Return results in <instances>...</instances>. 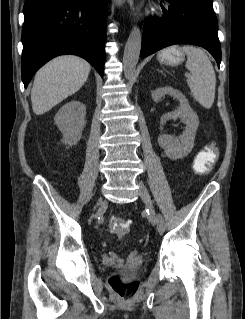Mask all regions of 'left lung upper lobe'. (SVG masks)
<instances>
[{
    "mask_svg": "<svg viewBox=\"0 0 245 319\" xmlns=\"http://www.w3.org/2000/svg\"><path fill=\"white\" fill-rule=\"evenodd\" d=\"M199 4L212 8L213 1L212 0H194Z\"/></svg>",
    "mask_w": 245,
    "mask_h": 319,
    "instance_id": "1",
    "label": "left lung upper lobe"
}]
</instances>
